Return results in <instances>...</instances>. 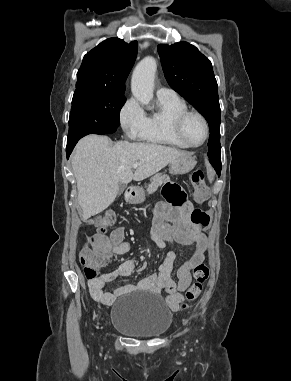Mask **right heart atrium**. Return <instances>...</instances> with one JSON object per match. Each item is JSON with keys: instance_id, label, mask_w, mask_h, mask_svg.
Wrapping results in <instances>:
<instances>
[{"instance_id": "obj_1", "label": "right heart atrium", "mask_w": 291, "mask_h": 381, "mask_svg": "<svg viewBox=\"0 0 291 381\" xmlns=\"http://www.w3.org/2000/svg\"><path fill=\"white\" fill-rule=\"evenodd\" d=\"M144 113L134 98H129L119 111L120 125L130 138L138 137L144 123Z\"/></svg>"}]
</instances>
